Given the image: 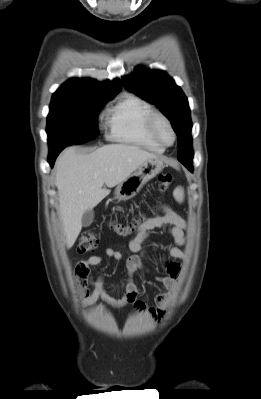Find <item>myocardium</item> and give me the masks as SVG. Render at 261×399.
Returning <instances> with one entry per match:
<instances>
[{
  "instance_id": "obj_1",
  "label": "myocardium",
  "mask_w": 261,
  "mask_h": 399,
  "mask_svg": "<svg viewBox=\"0 0 261 399\" xmlns=\"http://www.w3.org/2000/svg\"><path fill=\"white\" fill-rule=\"evenodd\" d=\"M159 120L164 121V122L168 125L169 129L171 130L172 135H173V140H172L171 143H165V142L161 139V137L159 136V134H158V132H157V123H158ZM147 128H148V132H149V134L151 135V137H152L158 144H160L161 146H163L164 148L170 147V146H172V145L176 142L177 133H176V130H175V128H174V126H173L171 120H170L165 114H163V113H161V112H159V111H153V112L149 115L148 120H147Z\"/></svg>"
}]
</instances>
